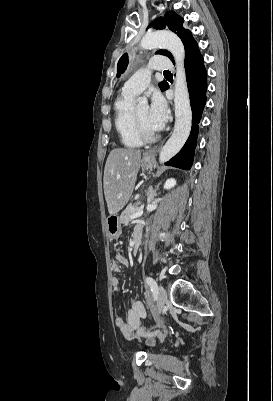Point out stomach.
Listing matches in <instances>:
<instances>
[{"instance_id":"stomach-1","label":"stomach","mask_w":273,"mask_h":401,"mask_svg":"<svg viewBox=\"0 0 273 401\" xmlns=\"http://www.w3.org/2000/svg\"><path fill=\"white\" fill-rule=\"evenodd\" d=\"M146 152H144L145 156ZM142 158L141 164L144 168H153L155 162L154 158ZM107 231L109 239H118L122 233L119 217L117 215H110L106 219Z\"/></svg>"}]
</instances>
